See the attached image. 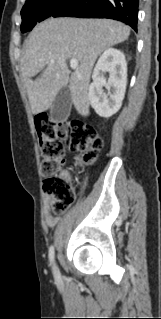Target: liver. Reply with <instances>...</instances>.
I'll list each match as a JSON object with an SVG mask.
<instances>
[{
  "instance_id": "liver-1",
  "label": "liver",
  "mask_w": 161,
  "mask_h": 319,
  "mask_svg": "<svg viewBox=\"0 0 161 319\" xmlns=\"http://www.w3.org/2000/svg\"><path fill=\"white\" fill-rule=\"evenodd\" d=\"M129 35L130 27L109 19L50 18L38 24L24 43L20 63L32 113L46 111L69 84L76 110L88 116V88L96 59ZM69 58L79 63L71 76L66 62ZM42 70L41 76L32 80Z\"/></svg>"
}]
</instances>
